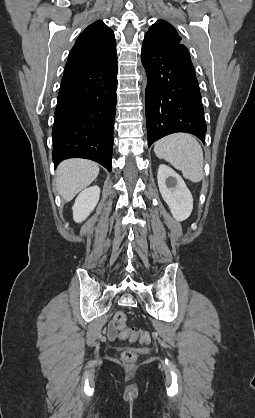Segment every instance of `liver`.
<instances>
[{
  "label": "liver",
  "mask_w": 255,
  "mask_h": 418,
  "mask_svg": "<svg viewBox=\"0 0 255 418\" xmlns=\"http://www.w3.org/2000/svg\"><path fill=\"white\" fill-rule=\"evenodd\" d=\"M99 174V165L86 159H68L56 171L57 190L65 202L71 201Z\"/></svg>",
  "instance_id": "6515ba94"
}]
</instances>
